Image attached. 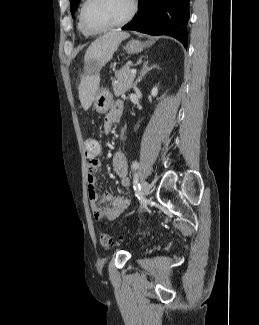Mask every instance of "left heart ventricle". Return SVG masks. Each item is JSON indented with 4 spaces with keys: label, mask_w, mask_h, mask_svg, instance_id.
Instances as JSON below:
<instances>
[{
    "label": "left heart ventricle",
    "mask_w": 259,
    "mask_h": 325,
    "mask_svg": "<svg viewBox=\"0 0 259 325\" xmlns=\"http://www.w3.org/2000/svg\"><path fill=\"white\" fill-rule=\"evenodd\" d=\"M131 0H94L86 12L92 28H103L122 20L130 10Z\"/></svg>",
    "instance_id": "b2bd125f"
}]
</instances>
